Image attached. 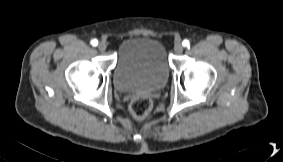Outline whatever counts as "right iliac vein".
I'll return each mask as SVG.
<instances>
[{"mask_svg": "<svg viewBox=\"0 0 283 162\" xmlns=\"http://www.w3.org/2000/svg\"><path fill=\"white\" fill-rule=\"evenodd\" d=\"M106 48H107V45H106L105 42H100V43L98 44V49H99L100 51H105Z\"/></svg>", "mask_w": 283, "mask_h": 162, "instance_id": "right-iliac-vein-1", "label": "right iliac vein"}]
</instances>
